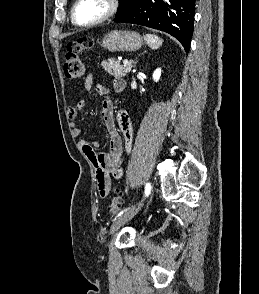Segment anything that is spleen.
<instances>
[{
	"mask_svg": "<svg viewBox=\"0 0 259 294\" xmlns=\"http://www.w3.org/2000/svg\"><path fill=\"white\" fill-rule=\"evenodd\" d=\"M144 40L152 49H158L163 43L162 39H160L157 35L153 34H146L144 36Z\"/></svg>",
	"mask_w": 259,
	"mask_h": 294,
	"instance_id": "3e777b00",
	"label": "spleen"
}]
</instances>
